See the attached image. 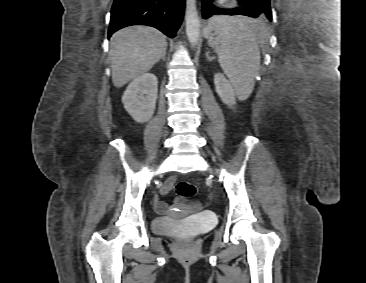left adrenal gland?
<instances>
[{"instance_id": "a2214340", "label": "left adrenal gland", "mask_w": 366, "mask_h": 283, "mask_svg": "<svg viewBox=\"0 0 366 283\" xmlns=\"http://www.w3.org/2000/svg\"><path fill=\"white\" fill-rule=\"evenodd\" d=\"M206 57L208 61H212L214 58L209 56V52L206 53Z\"/></svg>"}]
</instances>
